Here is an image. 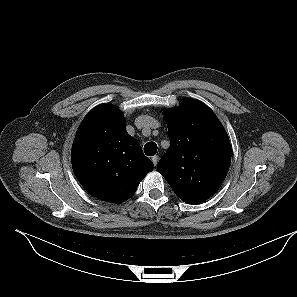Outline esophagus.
Wrapping results in <instances>:
<instances>
[{"instance_id":"obj_1","label":"esophagus","mask_w":297,"mask_h":297,"mask_svg":"<svg viewBox=\"0 0 297 297\" xmlns=\"http://www.w3.org/2000/svg\"><path fill=\"white\" fill-rule=\"evenodd\" d=\"M158 160H159V156H158V155H155V156L152 157V162H153V164H154L155 166L157 165Z\"/></svg>"}]
</instances>
